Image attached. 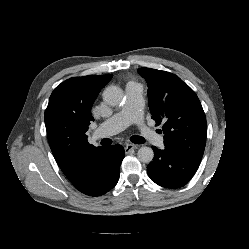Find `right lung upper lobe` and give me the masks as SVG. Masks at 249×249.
<instances>
[{"label":"right lung upper lobe","mask_w":249,"mask_h":249,"mask_svg":"<svg viewBox=\"0 0 249 249\" xmlns=\"http://www.w3.org/2000/svg\"><path fill=\"white\" fill-rule=\"evenodd\" d=\"M111 74L70 78L52 92L44 120L48 142L55 160L66 177L74 182L83 163L101 153L85 132L93 121L91 107Z\"/></svg>","instance_id":"1"}]
</instances>
